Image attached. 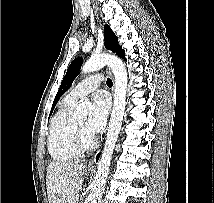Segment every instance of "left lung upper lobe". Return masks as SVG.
I'll use <instances>...</instances> for the list:
<instances>
[{"label":"left lung upper lobe","instance_id":"1","mask_svg":"<svg viewBox=\"0 0 214 203\" xmlns=\"http://www.w3.org/2000/svg\"><path fill=\"white\" fill-rule=\"evenodd\" d=\"M104 36H105V47L108 50H111L112 52L116 53L117 55L125 59L124 50L117 44L118 38L107 24L104 26ZM81 65H82L81 57L76 58L71 62L66 72V75L64 76L61 82L57 95L53 101L51 112L54 109L60 97L71 87L72 82L74 81L75 77L78 75L80 71Z\"/></svg>","mask_w":214,"mask_h":203}]
</instances>
